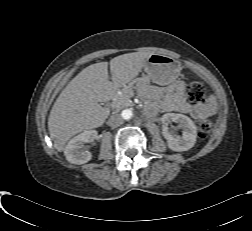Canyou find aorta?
I'll use <instances>...</instances> for the list:
<instances>
[{
	"mask_svg": "<svg viewBox=\"0 0 252 231\" xmlns=\"http://www.w3.org/2000/svg\"><path fill=\"white\" fill-rule=\"evenodd\" d=\"M134 113L132 109H125L122 111L121 116L125 120H130L133 117Z\"/></svg>",
	"mask_w": 252,
	"mask_h": 231,
	"instance_id": "obj_1",
	"label": "aorta"
}]
</instances>
